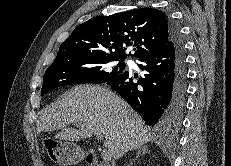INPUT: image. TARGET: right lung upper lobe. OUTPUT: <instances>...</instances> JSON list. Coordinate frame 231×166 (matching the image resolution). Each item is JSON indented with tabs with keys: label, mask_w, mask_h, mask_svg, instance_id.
<instances>
[{
	"label": "right lung upper lobe",
	"mask_w": 231,
	"mask_h": 166,
	"mask_svg": "<svg viewBox=\"0 0 231 166\" xmlns=\"http://www.w3.org/2000/svg\"><path fill=\"white\" fill-rule=\"evenodd\" d=\"M170 40V20L161 10L134 9L82 23L61 44L56 58L93 53L124 59L129 46H135L134 56L142 58Z\"/></svg>",
	"instance_id": "cb5924a9"
}]
</instances>
